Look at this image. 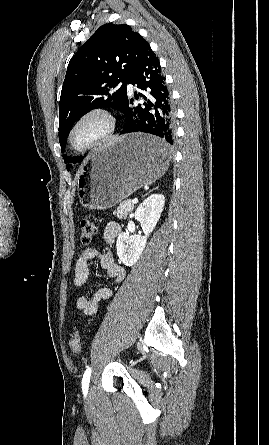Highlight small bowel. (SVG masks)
<instances>
[{
	"label": "small bowel",
	"mask_w": 269,
	"mask_h": 445,
	"mask_svg": "<svg viewBox=\"0 0 269 445\" xmlns=\"http://www.w3.org/2000/svg\"><path fill=\"white\" fill-rule=\"evenodd\" d=\"M121 227L117 222H109L104 229L103 238L107 244H111L120 235ZM98 260L101 268L106 271L109 278L115 282H121L125 278V270L116 261L110 249L99 250L95 246L83 248L76 260L73 283L76 287H82L89 278V263ZM112 296L109 287L99 288L91 298L85 296L77 297L76 308L85 316H92L98 310L101 301L108 300Z\"/></svg>",
	"instance_id": "obj_1"
}]
</instances>
